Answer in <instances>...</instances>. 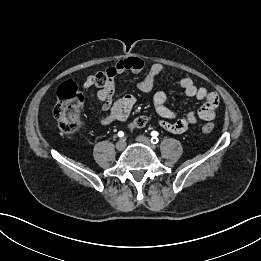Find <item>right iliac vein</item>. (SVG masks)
<instances>
[{"label":"right iliac vein","mask_w":261,"mask_h":261,"mask_svg":"<svg viewBox=\"0 0 261 261\" xmlns=\"http://www.w3.org/2000/svg\"><path fill=\"white\" fill-rule=\"evenodd\" d=\"M125 146H126V143H125L124 140H120V141H118V142L116 143V149H117L118 151L124 150Z\"/></svg>","instance_id":"obj_1"}]
</instances>
